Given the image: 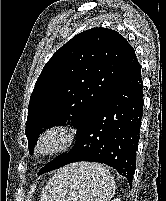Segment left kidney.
Listing matches in <instances>:
<instances>
[{
  "mask_svg": "<svg viewBox=\"0 0 166 201\" xmlns=\"http://www.w3.org/2000/svg\"><path fill=\"white\" fill-rule=\"evenodd\" d=\"M113 201H121V199H120V198H117V199H115V200H113Z\"/></svg>",
  "mask_w": 166,
  "mask_h": 201,
  "instance_id": "obj_1",
  "label": "left kidney"
}]
</instances>
